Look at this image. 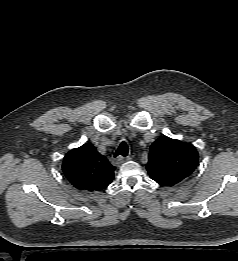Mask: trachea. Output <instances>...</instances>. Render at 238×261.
I'll list each match as a JSON object with an SVG mask.
<instances>
[{
	"instance_id": "1",
	"label": "trachea",
	"mask_w": 238,
	"mask_h": 261,
	"mask_svg": "<svg viewBox=\"0 0 238 261\" xmlns=\"http://www.w3.org/2000/svg\"><path fill=\"white\" fill-rule=\"evenodd\" d=\"M123 156L126 157L128 155V146L125 141L121 142L120 146L118 147L117 151L115 152L114 157L117 156Z\"/></svg>"
}]
</instances>
